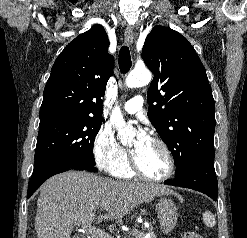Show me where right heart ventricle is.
Returning <instances> with one entry per match:
<instances>
[{
    "label": "right heart ventricle",
    "instance_id": "right-heart-ventricle-1",
    "mask_svg": "<svg viewBox=\"0 0 247 238\" xmlns=\"http://www.w3.org/2000/svg\"><path fill=\"white\" fill-rule=\"evenodd\" d=\"M112 174L118 178H132L134 176L128 161L117 167Z\"/></svg>",
    "mask_w": 247,
    "mask_h": 238
}]
</instances>
